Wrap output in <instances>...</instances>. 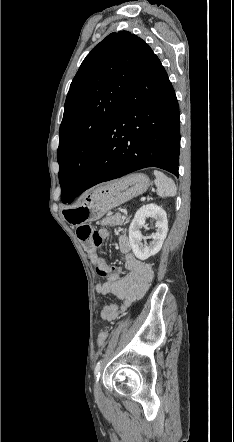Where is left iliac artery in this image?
Listing matches in <instances>:
<instances>
[{
	"label": "left iliac artery",
	"instance_id": "left-iliac-artery-1",
	"mask_svg": "<svg viewBox=\"0 0 234 442\" xmlns=\"http://www.w3.org/2000/svg\"><path fill=\"white\" fill-rule=\"evenodd\" d=\"M100 369H101V361H99L96 364L95 369H94V374H95V377L97 378V380L99 379V376H100Z\"/></svg>",
	"mask_w": 234,
	"mask_h": 442
}]
</instances>
